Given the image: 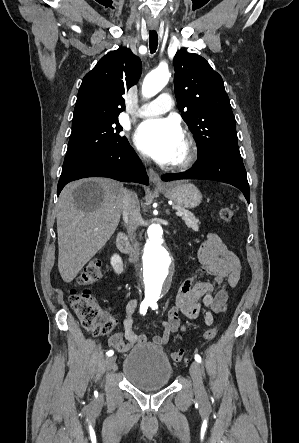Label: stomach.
I'll return each mask as SVG.
<instances>
[{
  "instance_id": "0dacf381",
  "label": "stomach",
  "mask_w": 299,
  "mask_h": 443,
  "mask_svg": "<svg viewBox=\"0 0 299 443\" xmlns=\"http://www.w3.org/2000/svg\"><path fill=\"white\" fill-rule=\"evenodd\" d=\"M160 191L170 200L183 208H195L202 201L199 189L191 183L172 182L160 188Z\"/></svg>"
}]
</instances>
